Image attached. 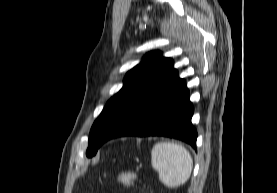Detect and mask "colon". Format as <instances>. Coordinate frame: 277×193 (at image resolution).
I'll return each mask as SVG.
<instances>
[{"mask_svg": "<svg viewBox=\"0 0 277 193\" xmlns=\"http://www.w3.org/2000/svg\"><path fill=\"white\" fill-rule=\"evenodd\" d=\"M113 181L126 187H136L139 184V177L135 172L122 171L113 176Z\"/></svg>", "mask_w": 277, "mask_h": 193, "instance_id": "colon-1", "label": "colon"}]
</instances>
